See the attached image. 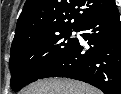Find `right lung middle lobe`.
<instances>
[{"label": "right lung middle lobe", "instance_id": "1", "mask_svg": "<svg viewBox=\"0 0 121 94\" xmlns=\"http://www.w3.org/2000/svg\"><path fill=\"white\" fill-rule=\"evenodd\" d=\"M72 31L64 29L53 33L32 32L11 46L9 60L11 87L14 91L38 79L76 44Z\"/></svg>", "mask_w": 121, "mask_h": 94}]
</instances>
